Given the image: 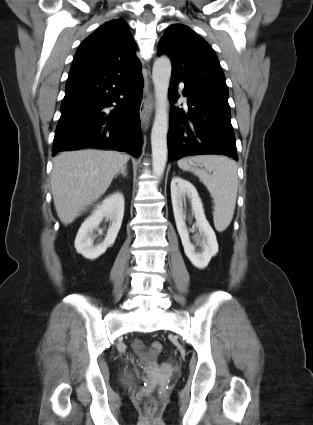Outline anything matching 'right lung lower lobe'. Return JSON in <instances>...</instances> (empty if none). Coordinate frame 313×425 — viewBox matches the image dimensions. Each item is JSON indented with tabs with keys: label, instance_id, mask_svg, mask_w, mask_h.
<instances>
[{
	"label": "right lung lower lobe",
	"instance_id": "98d812e1",
	"mask_svg": "<svg viewBox=\"0 0 313 425\" xmlns=\"http://www.w3.org/2000/svg\"><path fill=\"white\" fill-rule=\"evenodd\" d=\"M141 67L68 77L52 155L78 148H111L137 157L141 146ZM117 103L108 112L106 107Z\"/></svg>",
	"mask_w": 313,
	"mask_h": 425
}]
</instances>
